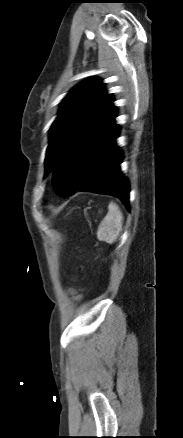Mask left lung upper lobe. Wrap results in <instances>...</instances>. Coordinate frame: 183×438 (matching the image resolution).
<instances>
[{"label": "left lung upper lobe", "mask_w": 183, "mask_h": 438, "mask_svg": "<svg viewBox=\"0 0 183 438\" xmlns=\"http://www.w3.org/2000/svg\"><path fill=\"white\" fill-rule=\"evenodd\" d=\"M112 102L111 94H107L101 80L95 78L78 84L69 92L50 128L45 176L53 173L73 147L115 115L117 110Z\"/></svg>", "instance_id": "obj_1"}]
</instances>
